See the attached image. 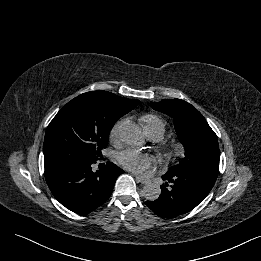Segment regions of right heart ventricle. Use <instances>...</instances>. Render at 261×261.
Here are the masks:
<instances>
[{"label":"right heart ventricle","mask_w":261,"mask_h":261,"mask_svg":"<svg viewBox=\"0 0 261 261\" xmlns=\"http://www.w3.org/2000/svg\"><path fill=\"white\" fill-rule=\"evenodd\" d=\"M140 123L148 138L154 135L160 138L165 133V123L157 115L145 114L140 117Z\"/></svg>","instance_id":"1"}]
</instances>
